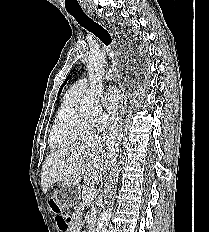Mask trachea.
I'll use <instances>...</instances> for the list:
<instances>
[{
	"instance_id": "trachea-1",
	"label": "trachea",
	"mask_w": 209,
	"mask_h": 232,
	"mask_svg": "<svg viewBox=\"0 0 209 232\" xmlns=\"http://www.w3.org/2000/svg\"><path fill=\"white\" fill-rule=\"evenodd\" d=\"M76 21L89 32L96 35L106 46L112 42L110 34L98 23L88 17L84 11L69 12Z\"/></svg>"
}]
</instances>
